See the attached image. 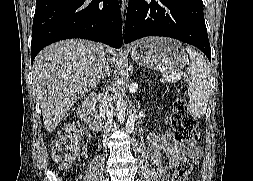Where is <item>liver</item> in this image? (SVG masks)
<instances>
[{
	"instance_id": "obj_1",
	"label": "liver",
	"mask_w": 253,
	"mask_h": 181,
	"mask_svg": "<svg viewBox=\"0 0 253 181\" xmlns=\"http://www.w3.org/2000/svg\"><path fill=\"white\" fill-rule=\"evenodd\" d=\"M113 55L103 44L82 39L59 41L39 52L33 63V83L48 132L98 85Z\"/></svg>"
}]
</instances>
